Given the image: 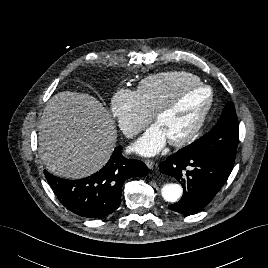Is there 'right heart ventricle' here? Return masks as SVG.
I'll use <instances>...</instances> for the list:
<instances>
[{
  "instance_id": "right-heart-ventricle-1",
  "label": "right heart ventricle",
  "mask_w": 268,
  "mask_h": 268,
  "mask_svg": "<svg viewBox=\"0 0 268 268\" xmlns=\"http://www.w3.org/2000/svg\"><path fill=\"white\" fill-rule=\"evenodd\" d=\"M200 82L199 77L186 71H165L149 75L142 79L138 85L147 110L153 115L179 87Z\"/></svg>"
}]
</instances>
